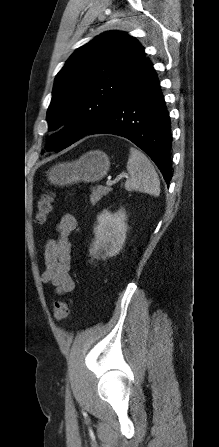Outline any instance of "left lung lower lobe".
I'll return each instance as SVG.
<instances>
[{
    "label": "left lung lower lobe",
    "instance_id": "left-lung-lower-lobe-1",
    "mask_svg": "<svg viewBox=\"0 0 219 447\" xmlns=\"http://www.w3.org/2000/svg\"><path fill=\"white\" fill-rule=\"evenodd\" d=\"M125 137L147 153L169 184L171 127L160 83L145 59L135 77L87 135Z\"/></svg>",
    "mask_w": 219,
    "mask_h": 447
}]
</instances>
